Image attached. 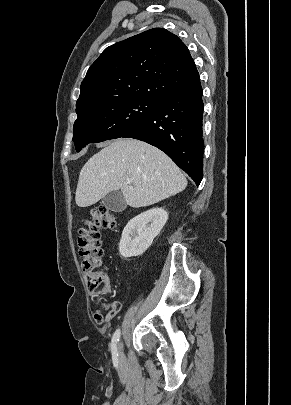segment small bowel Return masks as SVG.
<instances>
[{
  "label": "small bowel",
  "instance_id": "small-bowel-1",
  "mask_svg": "<svg viewBox=\"0 0 291 405\" xmlns=\"http://www.w3.org/2000/svg\"><path fill=\"white\" fill-rule=\"evenodd\" d=\"M109 309V312L106 316V320H111L120 310V304L118 302H113L107 306ZM94 320L96 323L101 324L104 321V317L101 313V311H96L94 314Z\"/></svg>",
  "mask_w": 291,
  "mask_h": 405
}]
</instances>
